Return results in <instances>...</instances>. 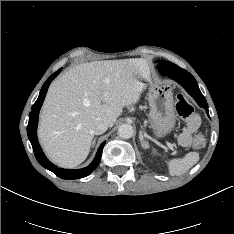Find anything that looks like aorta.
<instances>
[{"label":"aorta","instance_id":"1","mask_svg":"<svg viewBox=\"0 0 234 234\" xmlns=\"http://www.w3.org/2000/svg\"><path fill=\"white\" fill-rule=\"evenodd\" d=\"M118 135L123 139H129L133 136V127L130 124H122L118 128Z\"/></svg>","mask_w":234,"mask_h":234}]
</instances>
